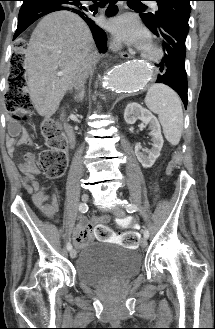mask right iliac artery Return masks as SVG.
<instances>
[{
	"instance_id": "right-iliac-artery-1",
	"label": "right iliac artery",
	"mask_w": 215,
	"mask_h": 329,
	"mask_svg": "<svg viewBox=\"0 0 215 329\" xmlns=\"http://www.w3.org/2000/svg\"><path fill=\"white\" fill-rule=\"evenodd\" d=\"M87 210H88V206L86 203H81L79 205V211L81 213H85V212H87ZM66 247H67V250H69V251L72 249V245L70 243H68Z\"/></svg>"
}]
</instances>
